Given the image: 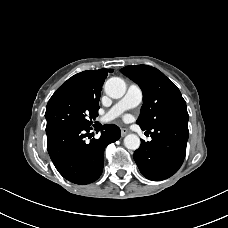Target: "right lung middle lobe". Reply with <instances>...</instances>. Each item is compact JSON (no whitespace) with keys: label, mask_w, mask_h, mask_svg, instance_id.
Listing matches in <instances>:
<instances>
[{"label":"right lung middle lobe","mask_w":228,"mask_h":228,"mask_svg":"<svg viewBox=\"0 0 228 228\" xmlns=\"http://www.w3.org/2000/svg\"><path fill=\"white\" fill-rule=\"evenodd\" d=\"M99 100L85 97L69 85H62L50 98L45 117L47 135L71 126H91L98 116Z\"/></svg>","instance_id":"obj_1"}]
</instances>
